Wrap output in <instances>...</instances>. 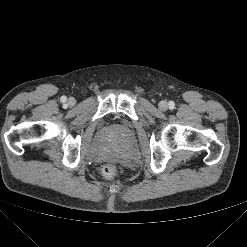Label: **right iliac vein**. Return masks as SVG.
<instances>
[{
	"label": "right iliac vein",
	"mask_w": 247,
	"mask_h": 247,
	"mask_svg": "<svg viewBox=\"0 0 247 247\" xmlns=\"http://www.w3.org/2000/svg\"><path fill=\"white\" fill-rule=\"evenodd\" d=\"M67 103H68L69 106H73V105H75L76 100L74 98H69Z\"/></svg>",
	"instance_id": "1"
}]
</instances>
